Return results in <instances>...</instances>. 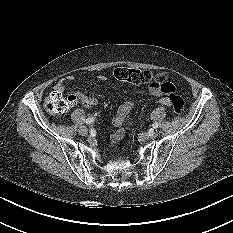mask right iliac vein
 <instances>
[{"instance_id": "63e3f726", "label": "right iliac vein", "mask_w": 233, "mask_h": 233, "mask_svg": "<svg viewBox=\"0 0 233 233\" xmlns=\"http://www.w3.org/2000/svg\"><path fill=\"white\" fill-rule=\"evenodd\" d=\"M79 133L83 136L87 135L88 134V129L85 127V126H81L79 128Z\"/></svg>"}]
</instances>
